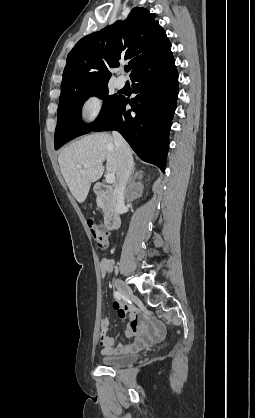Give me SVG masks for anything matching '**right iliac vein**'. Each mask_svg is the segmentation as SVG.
Wrapping results in <instances>:
<instances>
[{
	"instance_id": "obj_1",
	"label": "right iliac vein",
	"mask_w": 255,
	"mask_h": 418,
	"mask_svg": "<svg viewBox=\"0 0 255 418\" xmlns=\"http://www.w3.org/2000/svg\"><path fill=\"white\" fill-rule=\"evenodd\" d=\"M115 286L119 290V292L126 298L132 299L133 298V291L132 289L126 285L122 280L116 279Z\"/></svg>"
}]
</instances>
